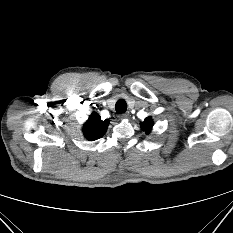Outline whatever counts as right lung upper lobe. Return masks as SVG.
Instances as JSON below:
<instances>
[{
	"mask_svg": "<svg viewBox=\"0 0 233 233\" xmlns=\"http://www.w3.org/2000/svg\"><path fill=\"white\" fill-rule=\"evenodd\" d=\"M108 124V120L103 121L97 113H92L84 124L83 132L85 137L90 141L101 138L105 134Z\"/></svg>",
	"mask_w": 233,
	"mask_h": 233,
	"instance_id": "cb5924a9",
	"label": "right lung upper lobe"
}]
</instances>
